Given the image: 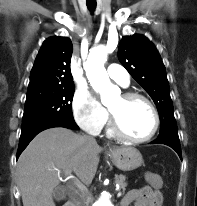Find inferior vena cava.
I'll return each mask as SVG.
<instances>
[{"mask_svg": "<svg viewBox=\"0 0 197 206\" xmlns=\"http://www.w3.org/2000/svg\"><path fill=\"white\" fill-rule=\"evenodd\" d=\"M86 137L90 142L96 143V140L93 137H91V136H86Z\"/></svg>", "mask_w": 197, "mask_h": 206, "instance_id": "inferior-vena-cava-1", "label": "inferior vena cava"}]
</instances>
